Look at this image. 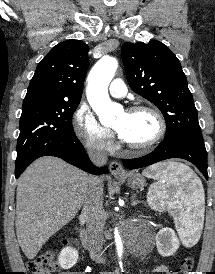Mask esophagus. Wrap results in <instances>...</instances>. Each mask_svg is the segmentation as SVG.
<instances>
[{"label":"esophagus","instance_id":"34e87169","mask_svg":"<svg viewBox=\"0 0 215 274\" xmlns=\"http://www.w3.org/2000/svg\"><path fill=\"white\" fill-rule=\"evenodd\" d=\"M109 169L111 174L116 177L125 175V170L118 161H112L109 165Z\"/></svg>","mask_w":215,"mask_h":274}]
</instances>
